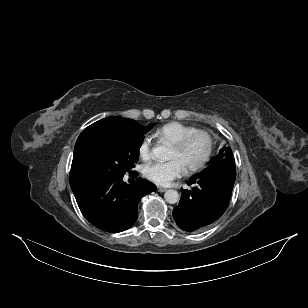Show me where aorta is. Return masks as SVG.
<instances>
[{
  "mask_svg": "<svg viewBox=\"0 0 308 308\" xmlns=\"http://www.w3.org/2000/svg\"><path fill=\"white\" fill-rule=\"evenodd\" d=\"M169 150L165 145H159L154 149V155L160 159L168 158ZM164 198L169 204H175L179 201V193L176 190L169 189L165 192Z\"/></svg>",
  "mask_w": 308,
  "mask_h": 308,
  "instance_id": "aorta-1",
  "label": "aorta"
}]
</instances>
